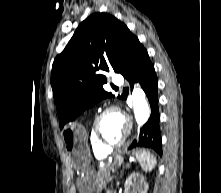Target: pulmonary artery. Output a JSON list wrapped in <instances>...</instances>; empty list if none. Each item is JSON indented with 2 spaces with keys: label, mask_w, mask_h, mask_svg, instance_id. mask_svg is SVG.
<instances>
[{
  "label": "pulmonary artery",
  "mask_w": 221,
  "mask_h": 193,
  "mask_svg": "<svg viewBox=\"0 0 221 193\" xmlns=\"http://www.w3.org/2000/svg\"><path fill=\"white\" fill-rule=\"evenodd\" d=\"M112 80H113L114 85L117 86V87L121 86L123 84V82H124V78L120 74H115L113 76Z\"/></svg>",
  "instance_id": "obj_1"
}]
</instances>
